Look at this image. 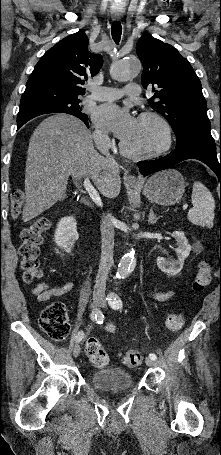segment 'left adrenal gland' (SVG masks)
I'll use <instances>...</instances> for the list:
<instances>
[{"mask_svg": "<svg viewBox=\"0 0 221 455\" xmlns=\"http://www.w3.org/2000/svg\"><path fill=\"white\" fill-rule=\"evenodd\" d=\"M159 218H160V216H156L153 209L151 208L149 215H148V223L155 224Z\"/></svg>", "mask_w": 221, "mask_h": 455, "instance_id": "a2214340", "label": "left adrenal gland"}]
</instances>
